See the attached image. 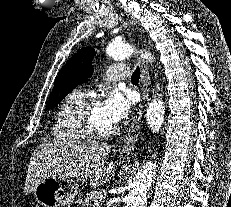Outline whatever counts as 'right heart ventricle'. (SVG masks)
I'll list each match as a JSON object with an SVG mask.
<instances>
[{
	"label": "right heart ventricle",
	"mask_w": 231,
	"mask_h": 207,
	"mask_svg": "<svg viewBox=\"0 0 231 207\" xmlns=\"http://www.w3.org/2000/svg\"><path fill=\"white\" fill-rule=\"evenodd\" d=\"M84 99L85 94L77 89L70 92L59 105L52 128L53 136L57 140L80 142L86 138L75 120V112Z\"/></svg>",
	"instance_id": "1"
}]
</instances>
